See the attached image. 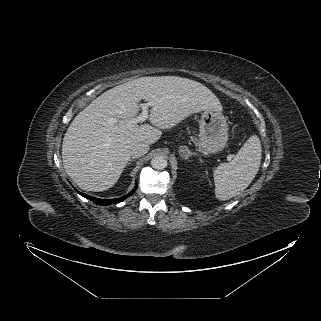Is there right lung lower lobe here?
<instances>
[{
	"label": "right lung lower lobe",
	"instance_id": "obj_1",
	"mask_svg": "<svg viewBox=\"0 0 321 321\" xmlns=\"http://www.w3.org/2000/svg\"><path fill=\"white\" fill-rule=\"evenodd\" d=\"M137 189V183L135 184V188L128 193L126 196H123L121 198H117V199H98V198H94L91 197L89 195L83 194V193H79L80 195H82L83 197L91 200L92 202L99 204V205H110V204H115V203H119L123 200H125L127 197L131 196Z\"/></svg>",
	"mask_w": 321,
	"mask_h": 321
}]
</instances>
